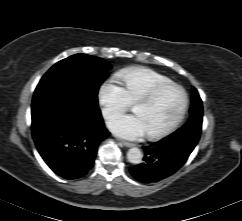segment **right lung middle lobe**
I'll return each mask as SVG.
<instances>
[{
  "instance_id": "right-lung-middle-lobe-1",
  "label": "right lung middle lobe",
  "mask_w": 242,
  "mask_h": 221,
  "mask_svg": "<svg viewBox=\"0 0 242 221\" xmlns=\"http://www.w3.org/2000/svg\"><path fill=\"white\" fill-rule=\"evenodd\" d=\"M111 65L98 57L75 54L56 63L35 89L32 107L71 95L85 109L98 108V89Z\"/></svg>"
}]
</instances>
